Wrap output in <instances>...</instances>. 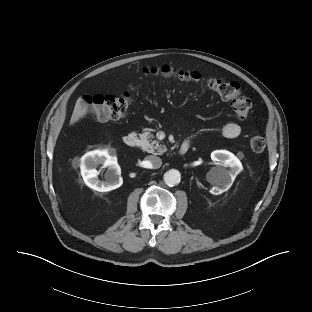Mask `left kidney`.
<instances>
[{
    "mask_svg": "<svg viewBox=\"0 0 312 312\" xmlns=\"http://www.w3.org/2000/svg\"><path fill=\"white\" fill-rule=\"evenodd\" d=\"M211 159L222 165L213 167L207 173V178L215 185L210 189V193L219 195L231 187L235 177L242 171L243 167L240 160L233 153L226 150L213 151Z\"/></svg>",
    "mask_w": 312,
    "mask_h": 312,
    "instance_id": "obj_1",
    "label": "left kidney"
}]
</instances>
